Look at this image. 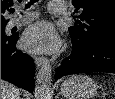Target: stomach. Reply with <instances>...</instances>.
Returning a JSON list of instances; mask_svg holds the SVG:
<instances>
[{
  "instance_id": "0dacf381",
  "label": "stomach",
  "mask_w": 115,
  "mask_h": 99,
  "mask_svg": "<svg viewBox=\"0 0 115 99\" xmlns=\"http://www.w3.org/2000/svg\"><path fill=\"white\" fill-rule=\"evenodd\" d=\"M97 91L92 78L85 75H74L61 85V92L66 99H91Z\"/></svg>"
}]
</instances>
